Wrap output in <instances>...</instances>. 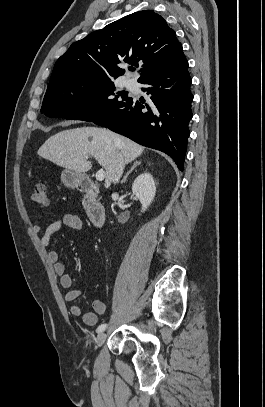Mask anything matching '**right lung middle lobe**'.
Wrapping results in <instances>:
<instances>
[{"mask_svg": "<svg viewBox=\"0 0 265 407\" xmlns=\"http://www.w3.org/2000/svg\"><path fill=\"white\" fill-rule=\"evenodd\" d=\"M87 94L92 101H87ZM128 99L116 92L111 80L59 81L48 85L41 112L51 118L93 121Z\"/></svg>", "mask_w": 265, "mask_h": 407, "instance_id": "1", "label": "right lung middle lobe"}]
</instances>
